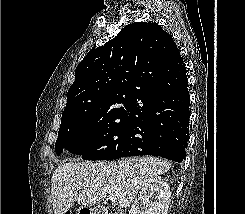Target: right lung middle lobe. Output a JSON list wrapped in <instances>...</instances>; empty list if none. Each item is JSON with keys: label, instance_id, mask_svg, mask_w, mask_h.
Returning <instances> with one entry per match:
<instances>
[{"label": "right lung middle lobe", "instance_id": "right-lung-middle-lobe-1", "mask_svg": "<svg viewBox=\"0 0 245 214\" xmlns=\"http://www.w3.org/2000/svg\"><path fill=\"white\" fill-rule=\"evenodd\" d=\"M135 111L105 119L87 115L62 116L55 152L63 149L82 155L86 160L116 159L117 153L127 143V134Z\"/></svg>", "mask_w": 245, "mask_h": 214}]
</instances>
